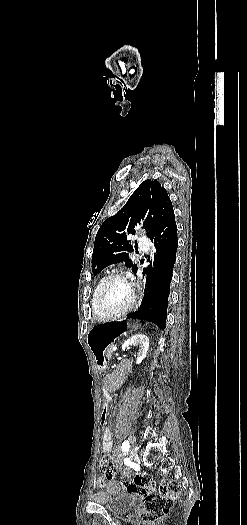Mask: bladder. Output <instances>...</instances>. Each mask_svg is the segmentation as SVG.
<instances>
[{
    "label": "bladder",
    "instance_id": "1",
    "mask_svg": "<svg viewBox=\"0 0 247 525\" xmlns=\"http://www.w3.org/2000/svg\"><path fill=\"white\" fill-rule=\"evenodd\" d=\"M103 501L102 507L111 515H125L140 505L137 496L128 495L125 492L116 496L103 495Z\"/></svg>",
    "mask_w": 247,
    "mask_h": 525
}]
</instances>
